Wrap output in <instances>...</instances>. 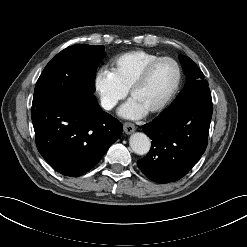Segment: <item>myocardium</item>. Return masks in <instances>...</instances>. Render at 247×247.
Masks as SVG:
<instances>
[{"instance_id": "obj_1", "label": "myocardium", "mask_w": 247, "mask_h": 247, "mask_svg": "<svg viewBox=\"0 0 247 247\" xmlns=\"http://www.w3.org/2000/svg\"><path fill=\"white\" fill-rule=\"evenodd\" d=\"M162 61H169L171 62L176 69V80L175 83L172 87V89L170 90V92L168 93V95L156 106H154L153 108H151L149 110L150 113H157L161 110H163L171 101L172 99L175 97V95L177 94L180 84H181V80H182V70L181 67L179 65V63L172 57L169 56H161L158 57L154 60H152L151 62H149L140 72V74L136 77V79L133 81L130 89H129V94L130 96L133 95V93L139 89L148 79L151 71L153 70V68L160 62Z\"/></svg>"}]
</instances>
